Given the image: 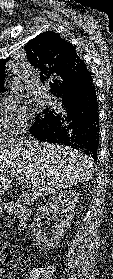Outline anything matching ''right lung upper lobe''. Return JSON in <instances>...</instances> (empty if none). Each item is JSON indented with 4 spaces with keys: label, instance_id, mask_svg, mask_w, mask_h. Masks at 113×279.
<instances>
[{
    "label": "right lung upper lobe",
    "instance_id": "cb5924a9",
    "mask_svg": "<svg viewBox=\"0 0 113 279\" xmlns=\"http://www.w3.org/2000/svg\"><path fill=\"white\" fill-rule=\"evenodd\" d=\"M28 61L40 70V79H50L51 91L62 96L79 87L90 74L75 47L59 33L48 31L30 40L24 47ZM0 61V88L4 81V63Z\"/></svg>",
    "mask_w": 113,
    "mask_h": 279
}]
</instances>
